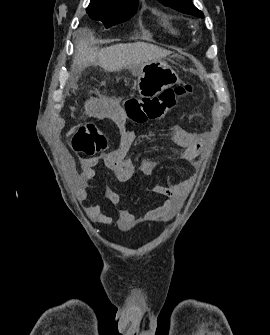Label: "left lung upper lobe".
Here are the masks:
<instances>
[{"mask_svg": "<svg viewBox=\"0 0 270 335\" xmlns=\"http://www.w3.org/2000/svg\"><path fill=\"white\" fill-rule=\"evenodd\" d=\"M163 5L172 7L180 12L204 18V15L193 4L192 0H159Z\"/></svg>", "mask_w": 270, "mask_h": 335, "instance_id": "left-lung-upper-lobe-1", "label": "left lung upper lobe"}]
</instances>
